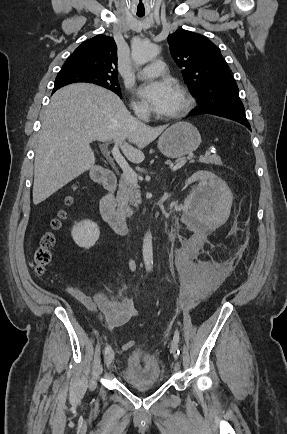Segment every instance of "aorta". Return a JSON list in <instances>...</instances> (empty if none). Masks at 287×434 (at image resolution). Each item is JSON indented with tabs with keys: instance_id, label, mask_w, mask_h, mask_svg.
I'll use <instances>...</instances> for the list:
<instances>
[{
	"instance_id": "aorta-1",
	"label": "aorta",
	"mask_w": 287,
	"mask_h": 434,
	"mask_svg": "<svg viewBox=\"0 0 287 434\" xmlns=\"http://www.w3.org/2000/svg\"><path fill=\"white\" fill-rule=\"evenodd\" d=\"M160 52V48L156 44H141L132 48V59L136 65H144L148 61L155 58ZM143 261L147 271L153 269V247L152 235L147 233L143 240Z\"/></svg>"
}]
</instances>
